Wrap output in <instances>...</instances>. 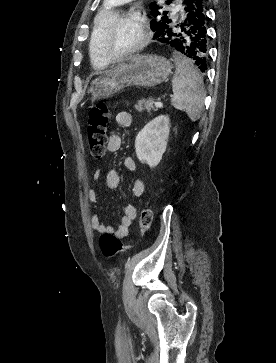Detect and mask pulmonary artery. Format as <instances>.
I'll return each instance as SVG.
<instances>
[{
  "mask_svg": "<svg viewBox=\"0 0 276 363\" xmlns=\"http://www.w3.org/2000/svg\"><path fill=\"white\" fill-rule=\"evenodd\" d=\"M112 1L120 2V1H124V0H112ZM175 11H177V9H175Z\"/></svg>",
  "mask_w": 276,
  "mask_h": 363,
  "instance_id": "obj_1",
  "label": "pulmonary artery"
}]
</instances>
